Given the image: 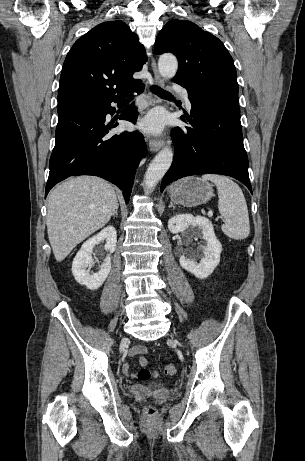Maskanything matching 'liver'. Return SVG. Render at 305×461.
<instances>
[{"label":"liver","mask_w":305,"mask_h":461,"mask_svg":"<svg viewBox=\"0 0 305 461\" xmlns=\"http://www.w3.org/2000/svg\"><path fill=\"white\" fill-rule=\"evenodd\" d=\"M117 205L113 187L101 178L79 176L57 185L47 205L48 237L56 261L107 224Z\"/></svg>","instance_id":"6515ba94"}]
</instances>
